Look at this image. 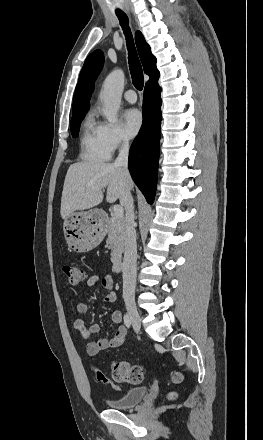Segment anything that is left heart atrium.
Instances as JSON below:
<instances>
[{
	"instance_id": "obj_1",
	"label": "left heart atrium",
	"mask_w": 263,
	"mask_h": 440,
	"mask_svg": "<svg viewBox=\"0 0 263 440\" xmlns=\"http://www.w3.org/2000/svg\"><path fill=\"white\" fill-rule=\"evenodd\" d=\"M143 124V117L139 110L132 108L123 115V126L129 137L137 135Z\"/></svg>"
}]
</instances>
